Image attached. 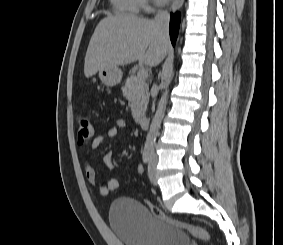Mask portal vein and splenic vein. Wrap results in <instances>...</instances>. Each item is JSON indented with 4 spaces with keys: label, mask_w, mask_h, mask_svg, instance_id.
I'll list each match as a JSON object with an SVG mask.
<instances>
[{
    "label": "portal vein and splenic vein",
    "mask_w": 283,
    "mask_h": 245,
    "mask_svg": "<svg viewBox=\"0 0 283 245\" xmlns=\"http://www.w3.org/2000/svg\"><path fill=\"white\" fill-rule=\"evenodd\" d=\"M138 77H140V78H147V76H148V72H147V70H145V69H139V71H138Z\"/></svg>",
    "instance_id": "1"
}]
</instances>
